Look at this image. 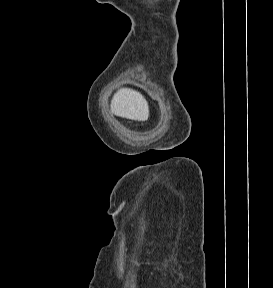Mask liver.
I'll return each instance as SVG.
<instances>
[{"mask_svg": "<svg viewBox=\"0 0 273 288\" xmlns=\"http://www.w3.org/2000/svg\"><path fill=\"white\" fill-rule=\"evenodd\" d=\"M110 109L114 115L130 120L146 121L149 117V106L145 97L130 88H121L114 94Z\"/></svg>", "mask_w": 273, "mask_h": 288, "instance_id": "6515ba94", "label": "liver"}]
</instances>
